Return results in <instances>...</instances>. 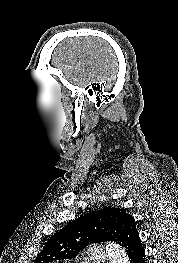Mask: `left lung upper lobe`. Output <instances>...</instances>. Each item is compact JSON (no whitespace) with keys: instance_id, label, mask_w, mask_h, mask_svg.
<instances>
[{"instance_id":"obj_1","label":"left lung upper lobe","mask_w":178,"mask_h":263,"mask_svg":"<svg viewBox=\"0 0 178 263\" xmlns=\"http://www.w3.org/2000/svg\"><path fill=\"white\" fill-rule=\"evenodd\" d=\"M130 217L125 209L115 207H105L85 214L54 234L45 243L34 263L75 258L90 243L107 240L119 243Z\"/></svg>"}]
</instances>
